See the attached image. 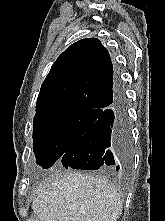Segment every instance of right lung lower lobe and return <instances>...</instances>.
Here are the masks:
<instances>
[{
    "instance_id": "98d812e1",
    "label": "right lung lower lobe",
    "mask_w": 165,
    "mask_h": 221,
    "mask_svg": "<svg viewBox=\"0 0 165 221\" xmlns=\"http://www.w3.org/2000/svg\"><path fill=\"white\" fill-rule=\"evenodd\" d=\"M122 84L116 81L114 97L99 111L97 120L62 155L68 169L115 170L122 173L130 156V133Z\"/></svg>"
}]
</instances>
